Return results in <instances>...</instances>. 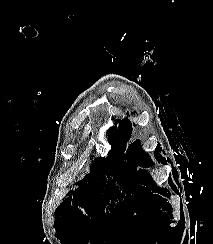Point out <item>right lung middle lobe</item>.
I'll list each match as a JSON object with an SVG mask.
<instances>
[{
	"label": "right lung middle lobe",
	"instance_id": "dd1d6c3e",
	"mask_svg": "<svg viewBox=\"0 0 213 244\" xmlns=\"http://www.w3.org/2000/svg\"><path fill=\"white\" fill-rule=\"evenodd\" d=\"M113 135L109 141L112 146L111 151H109L108 157L104 158H97L94 162L91 170V174L86 176L85 179L81 180L80 183H94L101 177H112L120 172L126 171L128 169L127 163L123 162V150L125 148V144L123 139H121L118 134L115 133V130H111Z\"/></svg>",
	"mask_w": 213,
	"mask_h": 244
}]
</instances>
